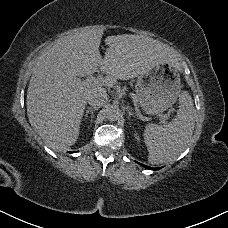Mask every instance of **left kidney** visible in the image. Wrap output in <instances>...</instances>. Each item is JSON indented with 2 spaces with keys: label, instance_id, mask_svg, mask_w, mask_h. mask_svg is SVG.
<instances>
[{
  "label": "left kidney",
  "instance_id": "1",
  "mask_svg": "<svg viewBox=\"0 0 228 228\" xmlns=\"http://www.w3.org/2000/svg\"><path fill=\"white\" fill-rule=\"evenodd\" d=\"M134 138H135V140H136L138 143H139L140 140H141L137 132L134 133Z\"/></svg>",
  "mask_w": 228,
  "mask_h": 228
}]
</instances>
